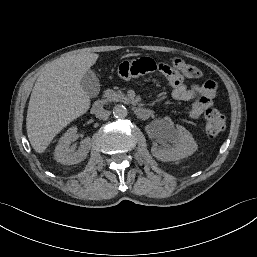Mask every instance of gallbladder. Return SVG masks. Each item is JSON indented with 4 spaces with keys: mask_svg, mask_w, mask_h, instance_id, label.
I'll return each mask as SVG.
<instances>
[{
    "mask_svg": "<svg viewBox=\"0 0 257 257\" xmlns=\"http://www.w3.org/2000/svg\"><path fill=\"white\" fill-rule=\"evenodd\" d=\"M81 86L90 97H96L99 94L100 83L94 71L89 69L85 73L81 80Z\"/></svg>",
    "mask_w": 257,
    "mask_h": 257,
    "instance_id": "bac80fb5",
    "label": "gallbladder"
}]
</instances>
